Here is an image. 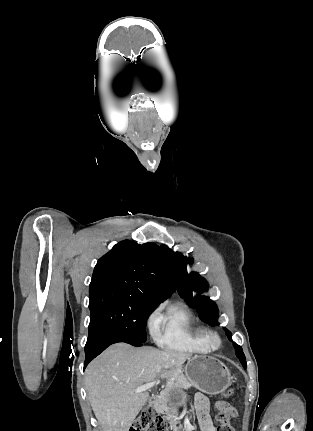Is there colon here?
Instances as JSON below:
<instances>
[{"label": "colon", "mask_w": 313, "mask_h": 431, "mask_svg": "<svg viewBox=\"0 0 313 431\" xmlns=\"http://www.w3.org/2000/svg\"><path fill=\"white\" fill-rule=\"evenodd\" d=\"M234 395V389L228 388L224 391V396L230 398ZM220 425L217 431H234L228 421L227 414L220 415ZM130 431H167L166 422L156 414L152 407L144 409L141 414L134 420Z\"/></svg>", "instance_id": "obj_1"}]
</instances>
